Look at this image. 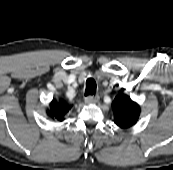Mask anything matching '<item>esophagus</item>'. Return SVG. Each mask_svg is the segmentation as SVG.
<instances>
[{
  "mask_svg": "<svg viewBox=\"0 0 173 170\" xmlns=\"http://www.w3.org/2000/svg\"><path fill=\"white\" fill-rule=\"evenodd\" d=\"M99 102V97L97 95L94 96H87L85 98V103L86 104H96Z\"/></svg>",
  "mask_w": 173,
  "mask_h": 170,
  "instance_id": "34e87169",
  "label": "esophagus"
}]
</instances>
